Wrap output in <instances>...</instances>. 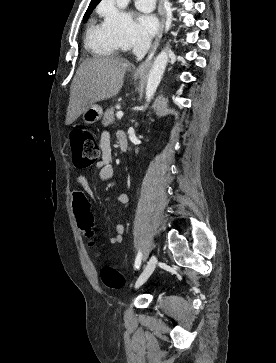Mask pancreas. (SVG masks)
Instances as JSON below:
<instances>
[{
    "instance_id": "cf45deb5",
    "label": "pancreas",
    "mask_w": 276,
    "mask_h": 363,
    "mask_svg": "<svg viewBox=\"0 0 276 363\" xmlns=\"http://www.w3.org/2000/svg\"><path fill=\"white\" fill-rule=\"evenodd\" d=\"M114 111H115L114 107H110L109 109H107L105 111L104 117H103V120H102V124L104 126H108V125L114 123V121H115Z\"/></svg>"
}]
</instances>
